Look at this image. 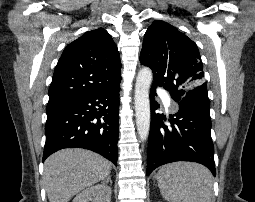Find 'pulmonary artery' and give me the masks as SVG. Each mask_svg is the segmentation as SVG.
<instances>
[{"instance_id":"obj_1","label":"pulmonary artery","mask_w":255,"mask_h":202,"mask_svg":"<svg viewBox=\"0 0 255 202\" xmlns=\"http://www.w3.org/2000/svg\"><path fill=\"white\" fill-rule=\"evenodd\" d=\"M164 103H165V106L168 107L171 112L176 111V106L169 99L166 98L164 100Z\"/></svg>"}]
</instances>
